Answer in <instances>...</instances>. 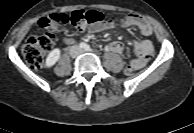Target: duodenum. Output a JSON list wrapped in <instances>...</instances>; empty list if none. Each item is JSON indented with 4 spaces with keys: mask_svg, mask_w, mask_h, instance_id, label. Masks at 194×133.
I'll return each instance as SVG.
<instances>
[{
    "mask_svg": "<svg viewBox=\"0 0 194 133\" xmlns=\"http://www.w3.org/2000/svg\"><path fill=\"white\" fill-rule=\"evenodd\" d=\"M65 42L66 43H71L72 42V39H66Z\"/></svg>",
    "mask_w": 194,
    "mask_h": 133,
    "instance_id": "duodenum-1",
    "label": "duodenum"
}]
</instances>
